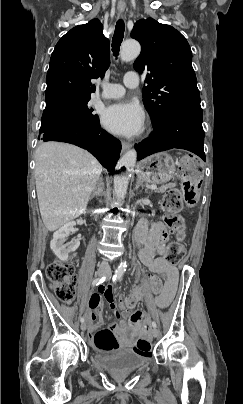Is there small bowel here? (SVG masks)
<instances>
[{
    "mask_svg": "<svg viewBox=\"0 0 243 404\" xmlns=\"http://www.w3.org/2000/svg\"><path fill=\"white\" fill-rule=\"evenodd\" d=\"M135 236L140 246V260L152 272L161 274L165 278L163 289L154 300L158 307L166 308L171 303L178 284L177 268L159 256L168 240V232L162 223L149 225L141 222ZM104 300L114 309V291L111 287H100L98 292L92 294L89 299V307L92 311L88 320L90 332L102 324L98 316L103 308ZM95 320L98 321L95 323ZM150 320L151 315L144 316L141 311H136L130 315L128 321L120 324L114 323L111 327L122 345H131L137 337L145 332ZM128 329H131L130 335L127 333Z\"/></svg>",
    "mask_w": 243,
    "mask_h": 404,
    "instance_id": "obj_1",
    "label": "small bowel"
}]
</instances>
